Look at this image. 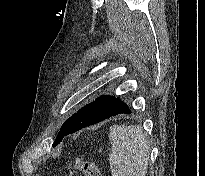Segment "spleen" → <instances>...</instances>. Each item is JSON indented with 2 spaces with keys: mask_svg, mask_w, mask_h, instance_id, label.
<instances>
[{
  "mask_svg": "<svg viewBox=\"0 0 205 176\" xmlns=\"http://www.w3.org/2000/svg\"><path fill=\"white\" fill-rule=\"evenodd\" d=\"M109 140L112 176H145L149 162V142L139 125H113Z\"/></svg>",
  "mask_w": 205,
  "mask_h": 176,
  "instance_id": "3e777b00",
  "label": "spleen"
}]
</instances>
